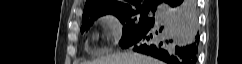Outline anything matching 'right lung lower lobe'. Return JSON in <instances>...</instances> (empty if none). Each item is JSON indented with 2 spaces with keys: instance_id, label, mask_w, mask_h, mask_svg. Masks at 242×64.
Here are the masks:
<instances>
[{
  "instance_id": "right-lung-lower-lobe-1",
  "label": "right lung lower lobe",
  "mask_w": 242,
  "mask_h": 64,
  "mask_svg": "<svg viewBox=\"0 0 242 64\" xmlns=\"http://www.w3.org/2000/svg\"><path fill=\"white\" fill-rule=\"evenodd\" d=\"M154 23L126 48L168 64H197L199 35L195 0H159Z\"/></svg>"
}]
</instances>
